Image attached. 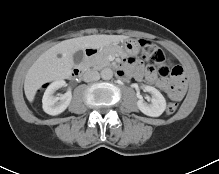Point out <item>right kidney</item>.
Returning <instances> with one entry per match:
<instances>
[{
	"instance_id": "ca27d5eb",
	"label": "right kidney",
	"mask_w": 219,
	"mask_h": 174,
	"mask_svg": "<svg viewBox=\"0 0 219 174\" xmlns=\"http://www.w3.org/2000/svg\"><path fill=\"white\" fill-rule=\"evenodd\" d=\"M64 86H66L64 80H57L47 87L42 98L44 112L55 116L61 114L67 109L72 99L71 91L66 92L61 97H55L53 95L56 90Z\"/></svg>"
}]
</instances>
